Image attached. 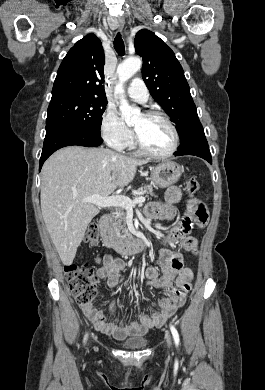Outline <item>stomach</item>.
Listing matches in <instances>:
<instances>
[{
  "label": "stomach",
  "mask_w": 265,
  "mask_h": 390,
  "mask_svg": "<svg viewBox=\"0 0 265 390\" xmlns=\"http://www.w3.org/2000/svg\"><path fill=\"white\" fill-rule=\"evenodd\" d=\"M182 173L183 167L169 161L152 168L150 179L156 188H166L176 183Z\"/></svg>",
  "instance_id": "obj_1"
}]
</instances>
